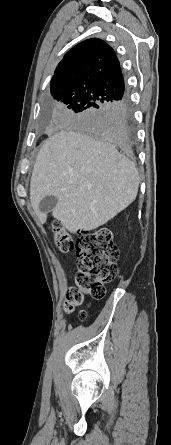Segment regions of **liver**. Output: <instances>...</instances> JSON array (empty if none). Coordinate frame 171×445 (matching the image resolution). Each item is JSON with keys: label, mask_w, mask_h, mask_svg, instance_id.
Segmentation results:
<instances>
[{"label": "liver", "mask_w": 171, "mask_h": 445, "mask_svg": "<svg viewBox=\"0 0 171 445\" xmlns=\"http://www.w3.org/2000/svg\"><path fill=\"white\" fill-rule=\"evenodd\" d=\"M135 164L110 143L63 129L41 147L30 183V200L41 223L40 201L57 198L52 216L69 232L94 230L127 208L136 198Z\"/></svg>", "instance_id": "liver-1"}]
</instances>
